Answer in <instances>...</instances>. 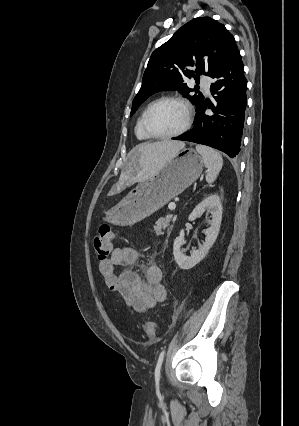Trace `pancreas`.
<instances>
[{"mask_svg":"<svg viewBox=\"0 0 299 426\" xmlns=\"http://www.w3.org/2000/svg\"><path fill=\"white\" fill-rule=\"evenodd\" d=\"M170 219L171 216H167L166 218H160L154 226V231L157 235L164 234V230L168 228V232L172 229V226H170Z\"/></svg>","mask_w":299,"mask_h":426,"instance_id":"cf45deb5","label":"pancreas"}]
</instances>
